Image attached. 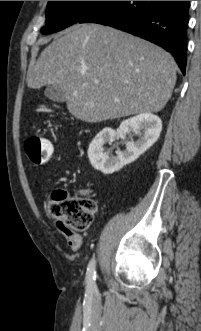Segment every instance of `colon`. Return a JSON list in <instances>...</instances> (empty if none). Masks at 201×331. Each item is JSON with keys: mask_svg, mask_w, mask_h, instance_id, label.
<instances>
[{"mask_svg": "<svg viewBox=\"0 0 201 331\" xmlns=\"http://www.w3.org/2000/svg\"><path fill=\"white\" fill-rule=\"evenodd\" d=\"M26 154L32 163H47L53 153L52 144L40 135L29 136L24 144ZM49 211L52 217L75 231L89 228L96 211V203L87 196L72 198L65 190H55L49 200Z\"/></svg>", "mask_w": 201, "mask_h": 331, "instance_id": "5ec220e1", "label": "colon"}]
</instances>
